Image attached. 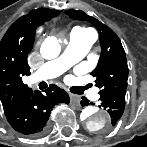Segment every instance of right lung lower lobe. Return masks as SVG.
<instances>
[{
	"mask_svg": "<svg viewBox=\"0 0 147 147\" xmlns=\"http://www.w3.org/2000/svg\"><path fill=\"white\" fill-rule=\"evenodd\" d=\"M44 92L35 91L25 102L5 112L8 122L19 133L31 137L43 134L53 107L70 101L67 92L56 85H50Z\"/></svg>",
	"mask_w": 147,
	"mask_h": 147,
	"instance_id": "obj_1",
	"label": "right lung lower lobe"
}]
</instances>
